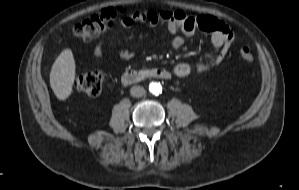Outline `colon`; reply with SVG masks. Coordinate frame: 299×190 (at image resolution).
I'll list each match as a JSON object with an SVG mask.
<instances>
[{
	"label": "colon",
	"mask_w": 299,
	"mask_h": 190,
	"mask_svg": "<svg viewBox=\"0 0 299 190\" xmlns=\"http://www.w3.org/2000/svg\"><path fill=\"white\" fill-rule=\"evenodd\" d=\"M117 16L118 12L115 9H103L78 23L74 27V35L85 40L94 38L109 28ZM205 23L206 18L200 16L199 25L203 27ZM241 55L245 61H251L253 58L249 50L242 51ZM103 81L104 75L101 72H89L77 76L74 80V86L85 94L94 97L100 94Z\"/></svg>",
	"instance_id": "5ec220e1"
}]
</instances>
